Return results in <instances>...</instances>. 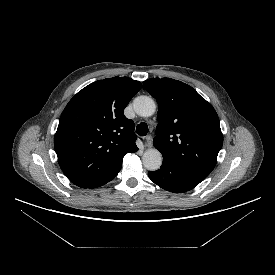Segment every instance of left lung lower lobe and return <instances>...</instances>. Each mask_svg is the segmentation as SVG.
<instances>
[{"instance_id":"0a47b994","label":"left lung lower lobe","mask_w":275,"mask_h":275,"mask_svg":"<svg viewBox=\"0 0 275 275\" xmlns=\"http://www.w3.org/2000/svg\"><path fill=\"white\" fill-rule=\"evenodd\" d=\"M148 176L161 188L174 193L189 191L204 179L185 168L164 160L161 168L149 171Z\"/></svg>"}]
</instances>
